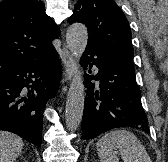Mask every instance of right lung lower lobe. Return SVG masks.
Wrapping results in <instances>:
<instances>
[{
	"label": "right lung lower lobe",
	"mask_w": 168,
	"mask_h": 162,
	"mask_svg": "<svg viewBox=\"0 0 168 162\" xmlns=\"http://www.w3.org/2000/svg\"><path fill=\"white\" fill-rule=\"evenodd\" d=\"M61 77L56 50L44 59L24 63L0 76V130L41 146L43 111L55 96Z\"/></svg>",
	"instance_id": "right-lung-lower-lobe-1"
}]
</instances>
